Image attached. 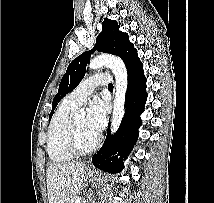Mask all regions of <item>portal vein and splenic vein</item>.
Here are the masks:
<instances>
[{
  "mask_svg": "<svg viewBox=\"0 0 214 203\" xmlns=\"http://www.w3.org/2000/svg\"><path fill=\"white\" fill-rule=\"evenodd\" d=\"M77 203H81V201L78 199V200H77Z\"/></svg>",
  "mask_w": 214,
  "mask_h": 203,
  "instance_id": "portal-vein-and-splenic-vein-1",
  "label": "portal vein and splenic vein"
}]
</instances>
